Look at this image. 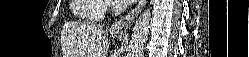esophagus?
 I'll use <instances>...</instances> for the list:
<instances>
[{"label":"esophagus","mask_w":249,"mask_h":57,"mask_svg":"<svg viewBox=\"0 0 249 57\" xmlns=\"http://www.w3.org/2000/svg\"><path fill=\"white\" fill-rule=\"evenodd\" d=\"M146 0H140L137 6L131 10L125 17L111 26V30L114 32L126 31L132 25L135 17L140 13L141 9L145 5Z\"/></svg>","instance_id":"obj_1"}]
</instances>
